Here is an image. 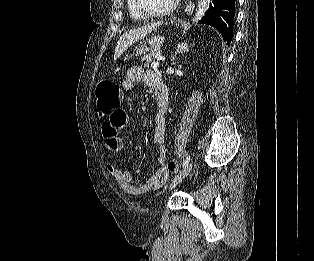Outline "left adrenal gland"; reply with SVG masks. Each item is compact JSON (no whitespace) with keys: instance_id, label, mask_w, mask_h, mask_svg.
Wrapping results in <instances>:
<instances>
[{"instance_id":"left-adrenal-gland-1","label":"left adrenal gland","mask_w":314,"mask_h":261,"mask_svg":"<svg viewBox=\"0 0 314 261\" xmlns=\"http://www.w3.org/2000/svg\"><path fill=\"white\" fill-rule=\"evenodd\" d=\"M191 47H192V45H188L186 42L178 44L176 47L175 54L173 55L171 61L173 62L176 59L178 54H183L185 52H188Z\"/></svg>"}]
</instances>
